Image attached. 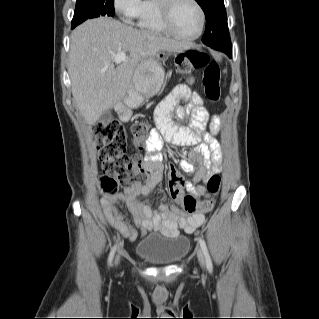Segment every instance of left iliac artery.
<instances>
[{"label":"left iliac artery","mask_w":319,"mask_h":319,"mask_svg":"<svg viewBox=\"0 0 319 319\" xmlns=\"http://www.w3.org/2000/svg\"><path fill=\"white\" fill-rule=\"evenodd\" d=\"M199 243L206 259L207 269L209 270V272H211L213 266L205 241L202 238H199Z\"/></svg>","instance_id":"44dca946"}]
</instances>
